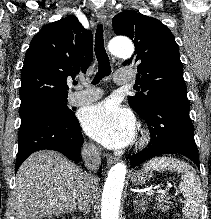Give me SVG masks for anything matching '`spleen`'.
I'll return each instance as SVG.
<instances>
[{"instance_id":"obj_1","label":"spleen","mask_w":211,"mask_h":219,"mask_svg":"<svg viewBox=\"0 0 211 219\" xmlns=\"http://www.w3.org/2000/svg\"><path fill=\"white\" fill-rule=\"evenodd\" d=\"M143 170H168L181 173L179 189L185 198L182 212L188 219L199 218L203 201V190L200 179L192 166L176 158L161 157L149 160L144 164Z\"/></svg>"}]
</instances>
